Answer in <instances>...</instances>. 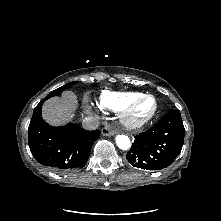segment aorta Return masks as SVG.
Listing matches in <instances>:
<instances>
[{
  "label": "aorta",
  "instance_id": "762f6f07",
  "mask_svg": "<svg viewBox=\"0 0 221 221\" xmlns=\"http://www.w3.org/2000/svg\"><path fill=\"white\" fill-rule=\"evenodd\" d=\"M116 144L122 150H128L130 148V139L126 135H117L116 136Z\"/></svg>",
  "mask_w": 221,
  "mask_h": 221
}]
</instances>
